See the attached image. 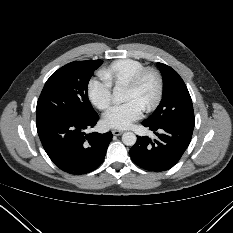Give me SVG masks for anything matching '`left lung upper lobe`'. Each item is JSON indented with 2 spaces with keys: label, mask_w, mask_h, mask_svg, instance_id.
Instances as JSON below:
<instances>
[{
  "label": "left lung upper lobe",
  "mask_w": 233,
  "mask_h": 233,
  "mask_svg": "<svg viewBox=\"0 0 233 233\" xmlns=\"http://www.w3.org/2000/svg\"><path fill=\"white\" fill-rule=\"evenodd\" d=\"M157 65L163 75V97L155 112L143 122L152 126L195 125L192 100L184 81L171 67L162 63Z\"/></svg>",
  "instance_id": "1"
}]
</instances>
